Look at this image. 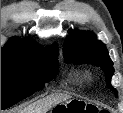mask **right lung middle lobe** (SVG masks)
<instances>
[{
	"mask_svg": "<svg viewBox=\"0 0 123 113\" xmlns=\"http://www.w3.org/2000/svg\"><path fill=\"white\" fill-rule=\"evenodd\" d=\"M58 54L48 49H1V110L43 89L58 72Z\"/></svg>",
	"mask_w": 123,
	"mask_h": 113,
	"instance_id": "right-lung-middle-lobe-1",
	"label": "right lung middle lobe"
}]
</instances>
